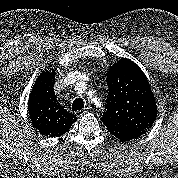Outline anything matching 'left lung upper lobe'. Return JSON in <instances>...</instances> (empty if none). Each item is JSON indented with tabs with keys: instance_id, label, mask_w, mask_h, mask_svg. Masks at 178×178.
Here are the masks:
<instances>
[{
	"instance_id": "1",
	"label": "left lung upper lobe",
	"mask_w": 178,
	"mask_h": 178,
	"mask_svg": "<svg viewBox=\"0 0 178 178\" xmlns=\"http://www.w3.org/2000/svg\"><path fill=\"white\" fill-rule=\"evenodd\" d=\"M107 84L109 92L102 122L149 130L157 117V107L141 68L129 59H121L110 67Z\"/></svg>"
}]
</instances>
